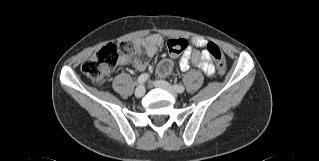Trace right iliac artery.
<instances>
[{"label":"right iliac artery","mask_w":319,"mask_h":161,"mask_svg":"<svg viewBox=\"0 0 319 161\" xmlns=\"http://www.w3.org/2000/svg\"><path fill=\"white\" fill-rule=\"evenodd\" d=\"M149 74H147V73H143V74H141L139 77H138V83L139 84H143L144 82H146L148 79H149Z\"/></svg>","instance_id":"obj_1"}]
</instances>
